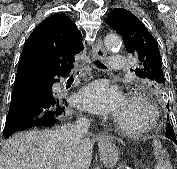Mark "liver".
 <instances>
[{"label": "liver", "instance_id": "obj_1", "mask_svg": "<svg viewBox=\"0 0 177 169\" xmlns=\"http://www.w3.org/2000/svg\"><path fill=\"white\" fill-rule=\"evenodd\" d=\"M60 130L25 131L10 137L0 152V169H66L69 164L88 169L93 141L83 138L68 161Z\"/></svg>", "mask_w": 177, "mask_h": 169}]
</instances>
